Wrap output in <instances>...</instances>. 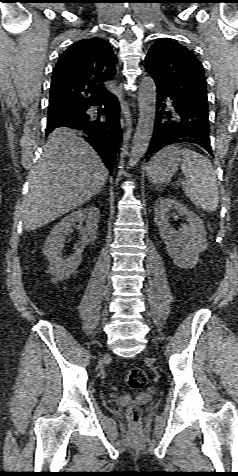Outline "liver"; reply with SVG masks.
I'll return each mask as SVG.
<instances>
[{"mask_svg":"<svg viewBox=\"0 0 238 476\" xmlns=\"http://www.w3.org/2000/svg\"><path fill=\"white\" fill-rule=\"evenodd\" d=\"M108 175L98 154L75 131H54L28 176L24 228L33 231L88 202L101 191Z\"/></svg>","mask_w":238,"mask_h":476,"instance_id":"6515ba94","label":"liver"}]
</instances>
